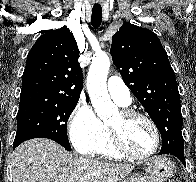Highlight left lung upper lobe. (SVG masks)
<instances>
[{
    "label": "left lung upper lobe",
    "mask_w": 196,
    "mask_h": 182,
    "mask_svg": "<svg viewBox=\"0 0 196 182\" xmlns=\"http://www.w3.org/2000/svg\"><path fill=\"white\" fill-rule=\"evenodd\" d=\"M111 54L123 81L162 136V154L184 153L180 95L174 71L157 35L125 22L112 37Z\"/></svg>",
    "instance_id": "1"
}]
</instances>
